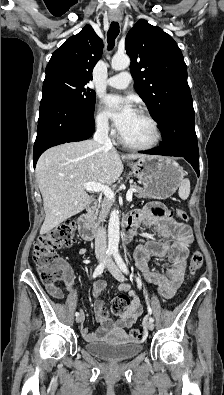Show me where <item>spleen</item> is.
Returning <instances> with one entry per match:
<instances>
[{
    "mask_svg": "<svg viewBox=\"0 0 224 395\" xmlns=\"http://www.w3.org/2000/svg\"><path fill=\"white\" fill-rule=\"evenodd\" d=\"M179 197L183 200H186L189 197L190 194V181L189 179H184L182 180L179 191H178Z\"/></svg>",
    "mask_w": 224,
    "mask_h": 395,
    "instance_id": "spleen-1",
    "label": "spleen"
}]
</instances>
